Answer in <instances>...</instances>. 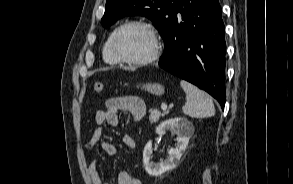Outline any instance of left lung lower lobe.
I'll return each mask as SVG.
<instances>
[{"instance_id":"0a47b994","label":"left lung lower lobe","mask_w":293,"mask_h":184,"mask_svg":"<svg viewBox=\"0 0 293 184\" xmlns=\"http://www.w3.org/2000/svg\"><path fill=\"white\" fill-rule=\"evenodd\" d=\"M218 0H178L159 66L225 105L224 24Z\"/></svg>"}]
</instances>
